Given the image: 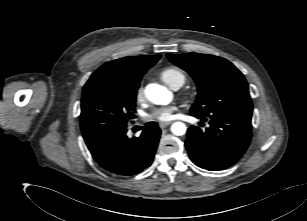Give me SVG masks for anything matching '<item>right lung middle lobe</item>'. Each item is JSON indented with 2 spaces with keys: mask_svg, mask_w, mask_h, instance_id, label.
Here are the masks:
<instances>
[{
  "mask_svg": "<svg viewBox=\"0 0 307 221\" xmlns=\"http://www.w3.org/2000/svg\"><path fill=\"white\" fill-rule=\"evenodd\" d=\"M138 87V84L117 79L87 81L80 114V126L87 145L127 126L128 119L135 112Z\"/></svg>",
  "mask_w": 307,
  "mask_h": 221,
  "instance_id": "obj_1",
  "label": "right lung middle lobe"
}]
</instances>
